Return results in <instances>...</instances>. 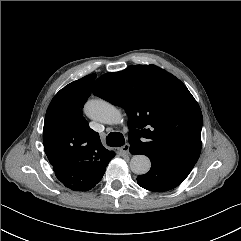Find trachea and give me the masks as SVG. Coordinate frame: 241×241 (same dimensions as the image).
Masks as SVG:
<instances>
[{
  "label": "trachea",
  "mask_w": 241,
  "mask_h": 241,
  "mask_svg": "<svg viewBox=\"0 0 241 241\" xmlns=\"http://www.w3.org/2000/svg\"><path fill=\"white\" fill-rule=\"evenodd\" d=\"M106 143L111 147H119L125 144L124 136L119 132H111L106 137Z\"/></svg>",
  "instance_id": "3493384b"
}]
</instances>
